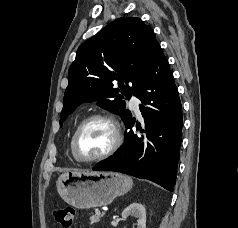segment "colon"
Wrapping results in <instances>:
<instances>
[{
    "label": "colon",
    "instance_id": "obj_1",
    "mask_svg": "<svg viewBox=\"0 0 238 228\" xmlns=\"http://www.w3.org/2000/svg\"><path fill=\"white\" fill-rule=\"evenodd\" d=\"M76 212L72 207H61L53 211V218L63 228H72L75 223Z\"/></svg>",
    "mask_w": 238,
    "mask_h": 228
}]
</instances>
